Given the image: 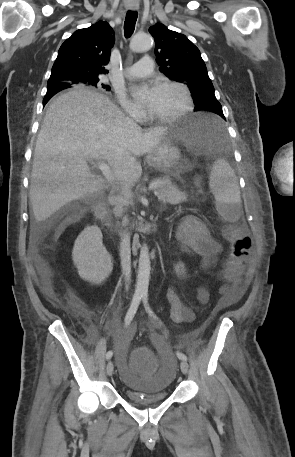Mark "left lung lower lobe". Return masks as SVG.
Instances as JSON below:
<instances>
[{
    "mask_svg": "<svg viewBox=\"0 0 295 457\" xmlns=\"http://www.w3.org/2000/svg\"><path fill=\"white\" fill-rule=\"evenodd\" d=\"M205 111L213 112V113L218 114L219 116H221L223 119H225L221 107H207V109H206ZM205 127H206V130H207L211 135H213V133L215 132V129H214L213 125H211V124H206Z\"/></svg>",
    "mask_w": 295,
    "mask_h": 457,
    "instance_id": "left-lung-lower-lobe-1",
    "label": "left lung lower lobe"
}]
</instances>
